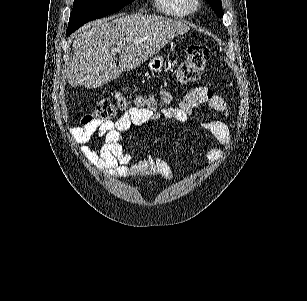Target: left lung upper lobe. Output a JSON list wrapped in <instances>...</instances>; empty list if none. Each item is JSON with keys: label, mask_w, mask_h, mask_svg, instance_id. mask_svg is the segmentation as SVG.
Segmentation results:
<instances>
[{"label": "left lung upper lobe", "mask_w": 307, "mask_h": 301, "mask_svg": "<svg viewBox=\"0 0 307 301\" xmlns=\"http://www.w3.org/2000/svg\"><path fill=\"white\" fill-rule=\"evenodd\" d=\"M218 17H222V4L220 0H206Z\"/></svg>", "instance_id": "obj_1"}]
</instances>
